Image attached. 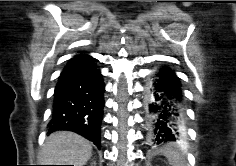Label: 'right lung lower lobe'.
Here are the masks:
<instances>
[{"label":"right lung lower lobe","instance_id":"1","mask_svg":"<svg viewBox=\"0 0 236 166\" xmlns=\"http://www.w3.org/2000/svg\"><path fill=\"white\" fill-rule=\"evenodd\" d=\"M95 59L67 64L54 91L49 132H76L101 147L105 84Z\"/></svg>","mask_w":236,"mask_h":166}]
</instances>
